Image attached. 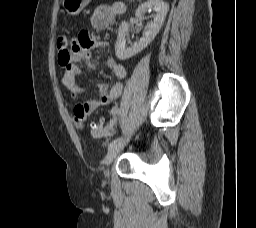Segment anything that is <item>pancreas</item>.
Here are the masks:
<instances>
[{
	"label": "pancreas",
	"mask_w": 256,
	"mask_h": 228,
	"mask_svg": "<svg viewBox=\"0 0 256 228\" xmlns=\"http://www.w3.org/2000/svg\"><path fill=\"white\" fill-rule=\"evenodd\" d=\"M127 1L132 2V1H134V0H127Z\"/></svg>",
	"instance_id": "1"
}]
</instances>
